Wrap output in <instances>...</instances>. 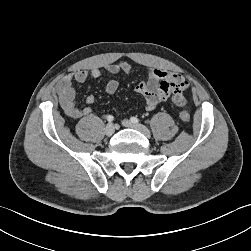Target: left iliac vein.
Listing matches in <instances>:
<instances>
[{
  "mask_svg": "<svg viewBox=\"0 0 251 251\" xmlns=\"http://www.w3.org/2000/svg\"><path fill=\"white\" fill-rule=\"evenodd\" d=\"M122 124H123V126H125L127 128H132V129H136V130L140 131L142 134H144L148 138H150V136H151L150 131L144 125L136 124V123H133V122L126 120V119L122 121Z\"/></svg>",
  "mask_w": 251,
  "mask_h": 251,
  "instance_id": "obj_1",
  "label": "left iliac vein"
}]
</instances>
